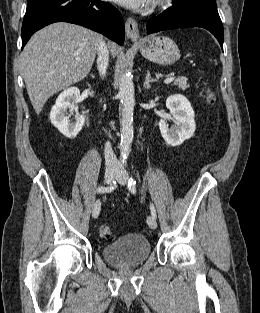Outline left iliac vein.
Segmentation results:
<instances>
[{
  "instance_id": "1",
  "label": "left iliac vein",
  "mask_w": 260,
  "mask_h": 313,
  "mask_svg": "<svg viewBox=\"0 0 260 313\" xmlns=\"http://www.w3.org/2000/svg\"><path fill=\"white\" fill-rule=\"evenodd\" d=\"M129 175L123 168H118L116 171V179L121 185H125L128 181ZM147 224L150 228L156 229L157 228V222L156 219L153 216L147 217Z\"/></svg>"
}]
</instances>
